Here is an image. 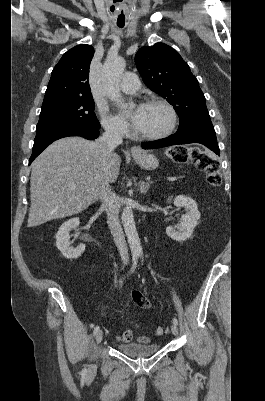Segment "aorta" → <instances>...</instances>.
<instances>
[{
  "mask_svg": "<svg viewBox=\"0 0 265 401\" xmlns=\"http://www.w3.org/2000/svg\"><path fill=\"white\" fill-rule=\"evenodd\" d=\"M125 66L126 62L123 58H117V60H110V58H107L102 68V84L105 86V94L108 98H111L113 102H120V104H123V98H121L119 82ZM121 219L132 255H143L140 239L134 223L132 207H124Z\"/></svg>",
  "mask_w": 265,
  "mask_h": 401,
  "instance_id": "1",
  "label": "aorta"
}]
</instances>
